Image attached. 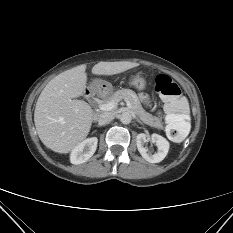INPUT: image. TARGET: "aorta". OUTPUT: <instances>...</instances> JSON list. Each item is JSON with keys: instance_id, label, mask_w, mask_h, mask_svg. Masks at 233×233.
Segmentation results:
<instances>
[{"instance_id": "762f6f07", "label": "aorta", "mask_w": 233, "mask_h": 233, "mask_svg": "<svg viewBox=\"0 0 233 233\" xmlns=\"http://www.w3.org/2000/svg\"><path fill=\"white\" fill-rule=\"evenodd\" d=\"M131 120H132V116L129 112H123L120 115V121L123 124H129L131 122Z\"/></svg>"}]
</instances>
